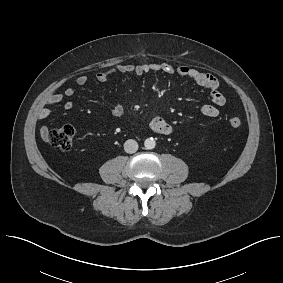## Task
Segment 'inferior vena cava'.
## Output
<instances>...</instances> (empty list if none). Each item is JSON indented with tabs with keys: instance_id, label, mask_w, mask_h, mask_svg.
<instances>
[{
	"instance_id": "602c4592",
	"label": "inferior vena cava",
	"mask_w": 283,
	"mask_h": 283,
	"mask_svg": "<svg viewBox=\"0 0 283 283\" xmlns=\"http://www.w3.org/2000/svg\"><path fill=\"white\" fill-rule=\"evenodd\" d=\"M124 150L129 154L135 153L138 150V143L133 139H129L124 143Z\"/></svg>"
}]
</instances>
